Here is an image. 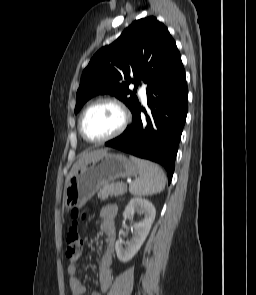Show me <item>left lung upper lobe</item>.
<instances>
[{
    "label": "left lung upper lobe",
    "mask_w": 256,
    "mask_h": 295,
    "mask_svg": "<svg viewBox=\"0 0 256 295\" xmlns=\"http://www.w3.org/2000/svg\"><path fill=\"white\" fill-rule=\"evenodd\" d=\"M181 60L167 28L153 16L134 21L112 44L101 48L84 69L75 113L97 94L109 93L133 113L140 105L128 86L135 78L149 88Z\"/></svg>",
    "instance_id": "5c2ea615"
}]
</instances>
